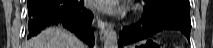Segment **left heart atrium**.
I'll use <instances>...</instances> for the list:
<instances>
[{
	"mask_svg": "<svg viewBox=\"0 0 213 48\" xmlns=\"http://www.w3.org/2000/svg\"><path fill=\"white\" fill-rule=\"evenodd\" d=\"M92 6L104 13L115 14L122 11V6L118 0H94Z\"/></svg>",
	"mask_w": 213,
	"mask_h": 48,
	"instance_id": "1",
	"label": "left heart atrium"
}]
</instances>
